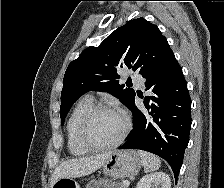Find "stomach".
Listing matches in <instances>:
<instances>
[{
    "label": "stomach",
    "instance_id": "stomach-1",
    "mask_svg": "<svg viewBox=\"0 0 224 188\" xmlns=\"http://www.w3.org/2000/svg\"><path fill=\"white\" fill-rule=\"evenodd\" d=\"M142 166V160L139 154L133 150L113 151L108 160L103 165L105 175L116 179L138 174ZM52 188H80L73 178H60Z\"/></svg>",
    "mask_w": 224,
    "mask_h": 188
}]
</instances>
